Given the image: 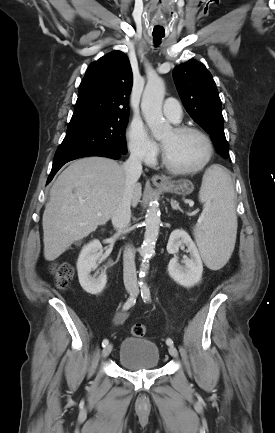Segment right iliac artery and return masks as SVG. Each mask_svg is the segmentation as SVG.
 <instances>
[{
    "instance_id": "82829eb1",
    "label": "right iliac artery",
    "mask_w": 275,
    "mask_h": 433,
    "mask_svg": "<svg viewBox=\"0 0 275 433\" xmlns=\"http://www.w3.org/2000/svg\"><path fill=\"white\" fill-rule=\"evenodd\" d=\"M135 301H136L135 294H132L123 305V310H128L131 306L134 305ZM108 343H109L108 339H104L102 341V346L105 347L106 345H108Z\"/></svg>"
}]
</instances>
